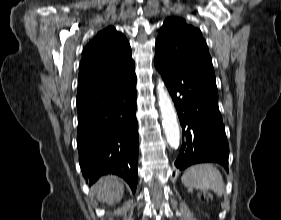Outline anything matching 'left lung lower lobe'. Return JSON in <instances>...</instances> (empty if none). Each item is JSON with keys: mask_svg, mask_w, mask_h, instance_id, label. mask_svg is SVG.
I'll return each instance as SVG.
<instances>
[{"mask_svg": "<svg viewBox=\"0 0 281 220\" xmlns=\"http://www.w3.org/2000/svg\"><path fill=\"white\" fill-rule=\"evenodd\" d=\"M155 66L174 101L183 128L176 169L217 162L228 170L229 146L218 108L216 82L182 62L155 59Z\"/></svg>", "mask_w": 281, "mask_h": 220, "instance_id": "left-lung-lower-lobe-1", "label": "left lung lower lobe"}]
</instances>
